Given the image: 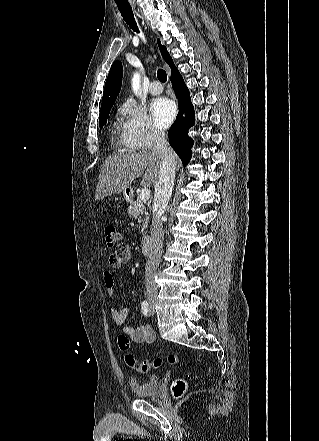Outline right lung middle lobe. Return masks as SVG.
Listing matches in <instances>:
<instances>
[{"label":"right lung middle lobe","instance_id":"right-lung-middle-lobe-1","mask_svg":"<svg viewBox=\"0 0 319 441\" xmlns=\"http://www.w3.org/2000/svg\"><path fill=\"white\" fill-rule=\"evenodd\" d=\"M110 109H111V107H107V108H104V109L100 110V116H99V126H100V128H102L106 124L107 118H108L109 113H110Z\"/></svg>","mask_w":319,"mask_h":441}]
</instances>
